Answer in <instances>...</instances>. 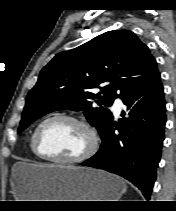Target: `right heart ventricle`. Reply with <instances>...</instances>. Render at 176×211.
<instances>
[{"label": "right heart ventricle", "mask_w": 176, "mask_h": 211, "mask_svg": "<svg viewBox=\"0 0 176 211\" xmlns=\"http://www.w3.org/2000/svg\"><path fill=\"white\" fill-rule=\"evenodd\" d=\"M29 145H30V149H31V151L33 152V154L37 156V154L35 153L34 148H33L32 135H31V137H30Z\"/></svg>", "instance_id": "obj_1"}]
</instances>
